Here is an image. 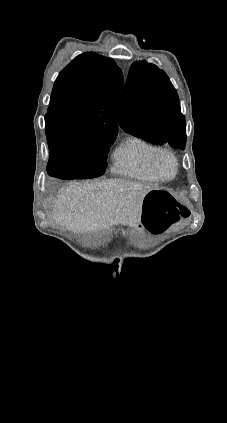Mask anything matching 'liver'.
I'll list each match as a JSON object with an SVG mask.
<instances>
[{
    "label": "liver",
    "instance_id": "1",
    "mask_svg": "<svg viewBox=\"0 0 227 423\" xmlns=\"http://www.w3.org/2000/svg\"><path fill=\"white\" fill-rule=\"evenodd\" d=\"M153 186L130 180L96 184H68L48 217L76 233H96L110 225H134L140 221L143 200Z\"/></svg>",
    "mask_w": 227,
    "mask_h": 423
}]
</instances>
